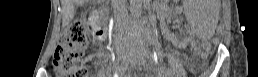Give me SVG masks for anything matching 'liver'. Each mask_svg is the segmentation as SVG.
Instances as JSON below:
<instances>
[{
  "mask_svg": "<svg viewBox=\"0 0 258 77\" xmlns=\"http://www.w3.org/2000/svg\"><path fill=\"white\" fill-rule=\"evenodd\" d=\"M85 0H61L62 5V24L67 26L74 17V4L81 5Z\"/></svg>",
  "mask_w": 258,
  "mask_h": 77,
  "instance_id": "6515ba94",
  "label": "liver"
}]
</instances>
